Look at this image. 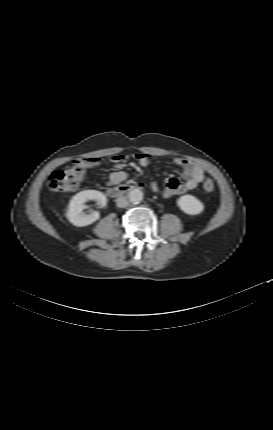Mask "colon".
I'll return each instance as SVG.
<instances>
[{
	"mask_svg": "<svg viewBox=\"0 0 273 430\" xmlns=\"http://www.w3.org/2000/svg\"><path fill=\"white\" fill-rule=\"evenodd\" d=\"M88 159V158H87ZM84 168L74 164L67 169L56 170L51 173L48 179V188L52 192H71L74 191L81 183L84 176ZM205 192H212L215 184L211 179L205 180L202 185Z\"/></svg>",
	"mask_w": 273,
	"mask_h": 430,
	"instance_id": "colon-1",
	"label": "colon"
}]
</instances>
